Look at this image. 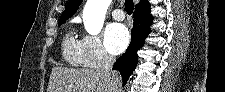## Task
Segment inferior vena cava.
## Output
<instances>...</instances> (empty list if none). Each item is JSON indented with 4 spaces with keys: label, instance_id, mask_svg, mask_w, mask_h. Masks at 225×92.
I'll use <instances>...</instances> for the list:
<instances>
[{
    "label": "inferior vena cava",
    "instance_id": "1",
    "mask_svg": "<svg viewBox=\"0 0 225 92\" xmlns=\"http://www.w3.org/2000/svg\"><path fill=\"white\" fill-rule=\"evenodd\" d=\"M114 62H115L114 57L104 52L101 56L100 70L103 71L104 73L115 76V73H112V67Z\"/></svg>",
    "mask_w": 225,
    "mask_h": 92
}]
</instances>
